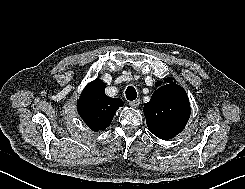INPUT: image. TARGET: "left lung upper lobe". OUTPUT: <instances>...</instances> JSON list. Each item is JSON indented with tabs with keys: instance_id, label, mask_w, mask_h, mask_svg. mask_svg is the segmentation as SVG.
I'll use <instances>...</instances> for the list:
<instances>
[{
	"instance_id": "obj_1",
	"label": "left lung upper lobe",
	"mask_w": 245,
	"mask_h": 189,
	"mask_svg": "<svg viewBox=\"0 0 245 189\" xmlns=\"http://www.w3.org/2000/svg\"><path fill=\"white\" fill-rule=\"evenodd\" d=\"M159 86L143 112L150 132L160 139H172L179 134L190 117V104L185 90L172 81Z\"/></svg>"
}]
</instances>
